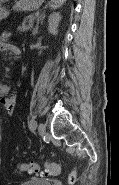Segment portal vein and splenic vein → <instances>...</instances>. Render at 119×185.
<instances>
[{"label":"portal vein and splenic vein","instance_id":"portal-vein-and-splenic-vein-1","mask_svg":"<svg viewBox=\"0 0 119 185\" xmlns=\"http://www.w3.org/2000/svg\"><path fill=\"white\" fill-rule=\"evenodd\" d=\"M39 14H40V13H39V12H37L35 15H36V16H39Z\"/></svg>","mask_w":119,"mask_h":185}]
</instances>
